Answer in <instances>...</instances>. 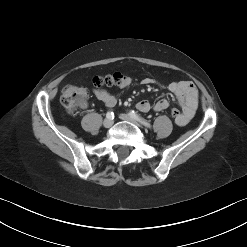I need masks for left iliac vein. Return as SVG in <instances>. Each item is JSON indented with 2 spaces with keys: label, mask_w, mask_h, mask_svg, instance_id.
Listing matches in <instances>:
<instances>
[{
  "label": "left iliac vein",
  "mask_w": 247,
  "mask_h": 247,
  "mask_svg": "<svg viewBox=\"0 0 247 247\" xmlns=\"http://www.w3.org/2000/svg\"><path fill=\"white\" fill-rule=\"evenodd\" d=\"M120 118L125 121L132 122L135 125H140L133 117H131L129 114H121Z\"/></svg>",
  "instance_id": "obj_1"
}]
</instances>
